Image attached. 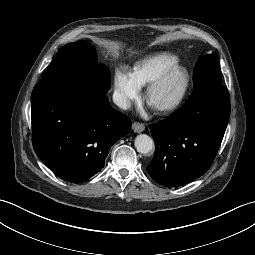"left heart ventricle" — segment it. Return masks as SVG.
<instances>
[{
  "label": "left heart ventricle",
  "instance_id": "left-heart-ventricle-1",
  "mask_svg": "<svg viewBox=\"0 0 255 255\" xmlns=\"http://www.w3.org/2000/svg\"><path fill=\"white\" fill-rule=\"evenodd\" d=\"M184 77L181 73L177 72L172 74L156 91L149 97V105L152 107L162 105L180 91L183 84Z\"/></svg>",
  "mask_w": 255,
  "mask_h": 255
}]
</instances>
